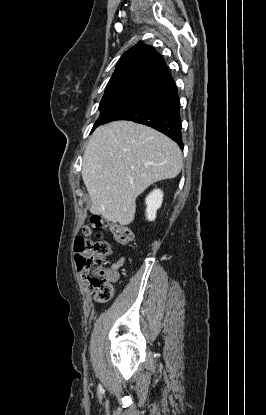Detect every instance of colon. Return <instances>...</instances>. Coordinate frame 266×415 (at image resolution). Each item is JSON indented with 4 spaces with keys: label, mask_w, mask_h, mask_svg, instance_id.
<instances>
[{
    "label": "colon",
    "mask_w": 266,
    "mask_h": 415,
    "mask_svg": "<svg viewBox=\"0 0 266 415\" xmlns=\"http://www.w3.org/2000/svg\"><path fill=\"white\" fill-rule=\"evenodd\" d=\"M108 229L119 245H128L133 234L131 230L119 223L109 222L101 216H92L89 223L84 227V234L89 236L93 230ZM75 261L81 278L86 282L97 301H106L111 298L112 275L105 268L106 256L110 253L111 247L102 238L90 240L87 237H77L74 243Z\"/></svg>",
    "instance_id": "1"
}]
</instances>
